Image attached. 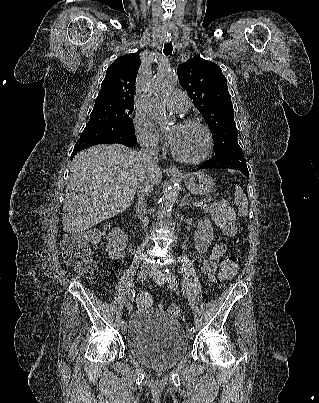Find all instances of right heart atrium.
Returning <instances> with one entry per match:
<instances>
[{"label":"right heart atrium","mask_w":319,"mask_h":403,"mask_svg":"<svg viewBox=\"0 0 319 403\" xmlns=\"http://www.w3.org/2000/svg\"><path fill=\"white\" fill-rule=\"evenodd\" d=\"M136 137L140 145L151 152L160 148V139L149 119L142 113H137L134 119Z\"/></svg>","instance_id":"1"}]
</instances>
